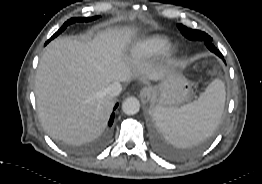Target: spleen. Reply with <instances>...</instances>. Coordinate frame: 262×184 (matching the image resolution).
Wrapping results in <instances>:
<instances>
[{"label":"spleen","mask_w":262,"mask_h":184,"mask_svg":"<svg viewBox=\"0 0 262 184\" xmlns=\"http://www.w3.org/2000/svg\"><path fill=\"white\" fill-rule=\"evenodd\" d=\"M225 85L213 80L198 100L180 108L156 106L153 115L165 138L185 147L209 137L220 123L225 104Z\"/></svg>","instance_id":"3e777b00"}]
</instances>
